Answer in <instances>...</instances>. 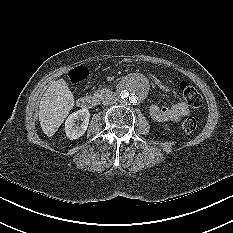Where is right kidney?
<instances>
[{
	"mask_svg": "<svg viewBox=\"0 0 233 233\" xmlns=\"http://www.w3.org/2000/svg\"><path fill=\"white\" fill-rule=\"evenodd\" d=\"M90 113L88 109H80L68 116L65 121L67 138L75 140L83 136L89 124Z\"/></svg>",
	"mask_w": 233,
	"mask_h": 233,
	"instance_id": "1",
	"label": "right kidney"
}]
</instances>
